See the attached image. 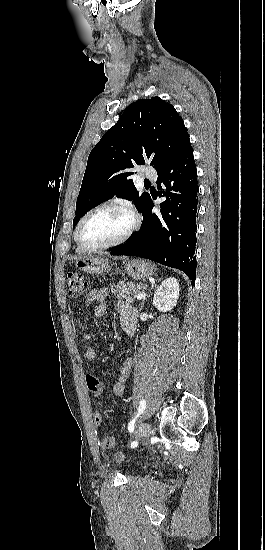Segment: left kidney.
<instances>
[{"instance_id":"obj_1","label":"left kidney","mask_w":265,"mask_h":550,"mask_svg":"<svg viewBox=\"0 0 265 550\" xmlns=\"http://www.w3.org/2000/svg\"><path fill=\"white\" fill-rule=\"evenodd\" d=\"M179 283L175 278H168L162 282V284L157 288L154 297L153 304L154 306L162 311L167 312L172 310L177 303L179 298Z\"/></svg>"}]
</instances>
